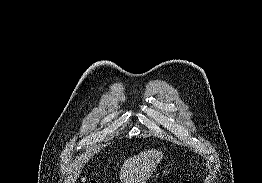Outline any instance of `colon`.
Here are the masks:
<instances>
[{"label": "colon", "mask_w": 262, "mask_h": 183, "mask_svg": "<svg viewBox=\"0 0 262 183\" xmlns=\"http://www.w3.org/2000/svg\"><path fill=\"white\" fill-rule=\"evenodd\" d=\"M88 183H91V182H88ZM184 183H191V182H189V181H185Z\"/></svg>", "instance_id": "1"}]
</instances>
